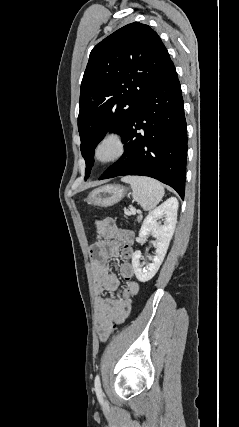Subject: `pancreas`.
<instances>
[{
	"label": "pancreas",
	"mask_w": 239,
	"mask_h": 427,
	"mask_svg": "<svg viewBox=\"0 0 239 427\" xmlns=\"http://www.w3.org/2000/svg\"><path fill=\"white\" fill-rule=\"evenodd\" d=\"M140 220H141V216H139V217L137 218V221H138V222H140Z\"/></svg>",
	"instance_id": "pancreas-1"
}]
</instances>
